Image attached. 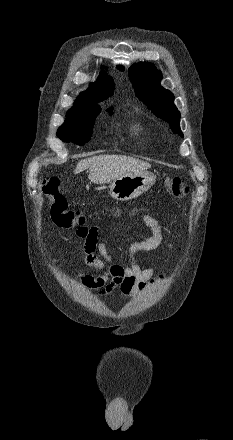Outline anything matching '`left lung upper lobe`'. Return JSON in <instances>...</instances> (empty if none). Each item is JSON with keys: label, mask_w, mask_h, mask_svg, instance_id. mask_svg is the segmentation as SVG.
Instances as JSON below:
<instances>
[{"label": "left lung upper lobe", "mask_w": 233, "mask_h": 440, "mask_svg": "<svg viewBox=\"0 0 233 440\" xmlns=\"http://www.w3.org/2000/svg\"><path fill=\"white\" fill-rule=\"evenodd\" d=\"M129 78L137 97L159 118L170 124L174 133L180 130V113L173 104L174 96L159 85L162 74L151 63L140 62L129 69Z\"/></svg>", "instance_id": "obj_1"}]
</instances>
